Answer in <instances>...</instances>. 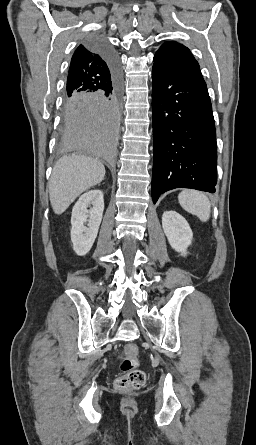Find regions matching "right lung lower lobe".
Wrapping results in <instances>:
<instances>
[{
	"label": "right lung lower lobe",
	"instance_id": "98d812e1",
	"mask_svg": "<svg viewBox=\"0 0 256 445\" xmlns=\"http://www.w3.org/2000/svg\"><path fill=\"white\" fill-rule=\"evenodd\" d=\"M86 43L102 54L111 79L101 90L65 98L62 145L72 152L112 164L117 156L121 117L118 59L114 49L104 39L91 37Z\"/></svg>",
	"mask_w": 256,
	"mask_h": 445
}]
</instances>
